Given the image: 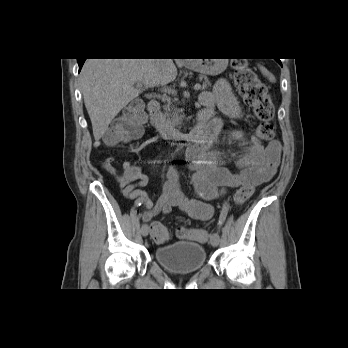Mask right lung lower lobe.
Wrapping results in <instances>:
<instances>
[{
	"instance_id": "right-lung-lower-lobe-1",
	"label": "right lung lower lobe",
	"mask_w": 348,
	"mask_h": 348,
	"mask_svg": "<svg viewBox=\"0 0 348 348\" xmlns=\"http://www.w3.org/2000/svg\"><path fill=\"white\" fill-rule=\"evenodd\" d=\"M78 60V64H79V71L81 70L83 64H84V61L85 59H77Z\"/></svg>"
}]
</instances>
